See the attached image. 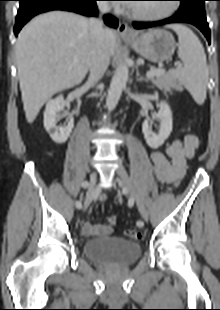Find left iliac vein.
Returning a JSON list of instances; mask_svg holds the SVG:
<instances>
[{"instance_id": "4c4485c4", "label": "left iliac vein", "mask_w": 220, "mask_h": 310, "mask_svg": "<svg viewBox=\"0 0 220 310\" xmlns=\"http://www.w3.org/2000/svg\"><path fill=\"white\" fill-rule=\"evenodd\" d=\"M116 176L119 180H121L123 182L125 189L129 193L131 198L133 200H135L136 205H137L140 213L142 214L143 219L147 222L148 221V214H147V211L145 209V206H144L140 196L138 195L137 190H136L131 178L129 177V175L127 174L126 170L124 169V167L122 165H120L117 168Z\"/></svg>"}]
</instances>
